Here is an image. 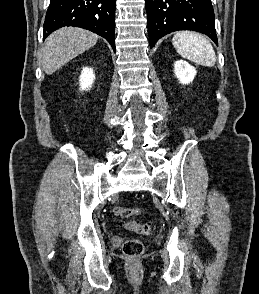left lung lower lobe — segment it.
<instances>
[{
	"mask_svg": "<svg viewBox=\"0 0 259 294\" xmlns=\"http://www.w3.org/2000/svg\"><path fill=\"white\" fill-rule=\"evenodd\" d=\"M145 3L150 47L178 30L197 31L218 43L210 0H145Z\"/></svg>",
	"mask_w": 259,
	"mask_h": 294,
	"instance_id": "0a47b994",
	"label": "left lung lower lobe"
}]
</instances>
